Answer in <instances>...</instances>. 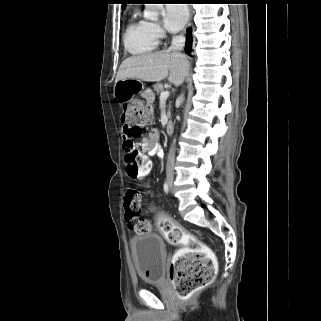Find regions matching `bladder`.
<instances>
[{
    "instance_id": "1",
    "label": "bladder",
    "mask_w": 321,
    "mask_h": 321,
    "mask_svg": "<svg viewBox=\"0 0 321 321\" xmlns=\"http://www.w3.org/2000/svg\"><path fill=\"white\" fill-rule=\"evenodd\" d=\"M130 250L139 278L147 284H160L164 279L166 249L162 237L144 233L130 240Z\"/></svg>"
}]
</instances>
